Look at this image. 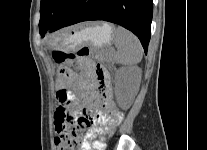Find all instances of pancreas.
<instances>
[{"label": "pancreas", "instance_id": "1", "mask_svg": "<svg viewBox=\"0 0 207 150\" xmlns=\"http://www.w3.org/2000/svg\"><path fill=\"white\" fill-rule=\"evenodd\" d=\"M102 57L107 62H112V63L115 62V56H114V53L112 51L103 52Z\"/></svg>", "mask_w": 207, "mask_h": 150}]
</instances>
